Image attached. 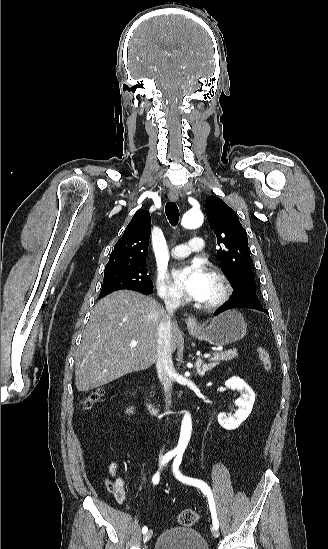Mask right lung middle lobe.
Segmentation results:
<instances>
[{
    "label": "right lung middle lobe",
    "mask_w": 328,
    "mask_h": 549,
    "mask_svg": "<svg viewBox=\"0 0 328 549\" xmlns=\"http://www.w3.org/2000/svg\"><path fill=\"white\" fill-rule=\"evenodd\" d=\"M129 289L144 294L153 290V283L148 275L145 262H139L112 270H105L100 297L113 291Z\"/></svg>",
    "instance_id": "dd1d6c3e"
}]
</instances>
